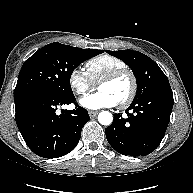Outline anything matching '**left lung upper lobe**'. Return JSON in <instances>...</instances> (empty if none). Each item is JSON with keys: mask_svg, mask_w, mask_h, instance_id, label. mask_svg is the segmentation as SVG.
<instances>
[{"mask_svg": "<svg viewBox=\"0 0 193 193\" xmlns=\"http://www.w3.org/2000/svg\"><path fill=\"white\" fill-rule=\"evenodd\" d=\"M107 53L119 58L132 69L137 82L134 100L142 98L161 83L168 81L160 67L143 53L132 50H107Z\"/></svg>", "mask_w": 193, "mask_h": 193, "instance_id": "5c2ea615", "label": "left lung upper lobe"}]
</instances>
